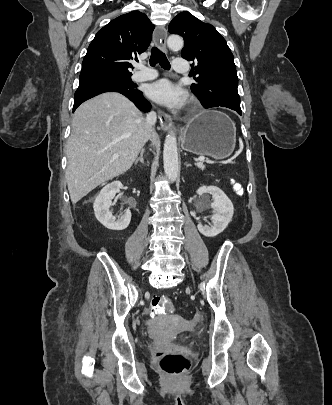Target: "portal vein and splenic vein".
Listing matches in <instances>:
<instances>
[{
    "label": "portal vein and splenic vein",
    "mask_w": 332,
    "mask_h": 405,
    "mask_svg": "<svg viewBox=\"0 0 332 405\" xmlns=\"http://www.w3.org/2000/svg\"><path fill=\"white\" fill-rule=\"evenodd\" d=\"M115 156L117 157L118 155H115ZM196 161H197L196 166L198 168L204 167L203 162L205 161V158L200 157V158L196 159Z\"/></svg>",
    "instance_id": "obj_1"
}]
</instances>
